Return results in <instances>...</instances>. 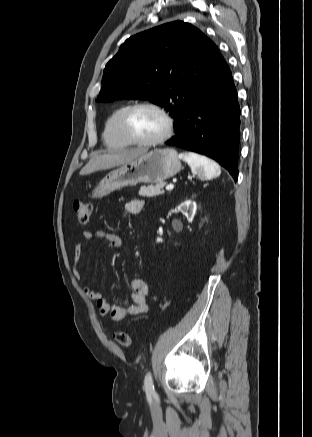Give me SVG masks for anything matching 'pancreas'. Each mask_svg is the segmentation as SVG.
I'll use <instances>...</instances> for the list:
<instances>
[{
    "label": "pancreas",
    "instance_id": "cf45deb5",
    "mask_svg": "<svg viewBox=\"0 0 312 437\" xmlns=\"http://www.w3.org/2000/svg\"><path fill=\"white\" fill-rule=\"evenodd\" d=\"M164 183L156 184L155 186H142L139 190V195L143 197H154L164 194L162 188L164 187Z\"/></svg>",
    "mask_w": 312,
    "mask_h": 437
}]
</instances>
